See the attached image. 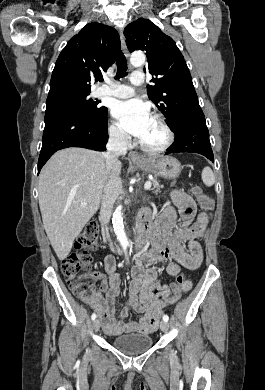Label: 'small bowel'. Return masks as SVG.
Segmentation results:
<instances>
[{
  "label": "small bowel",
  "mask_w": 265,
  "mask_h": 390,
  "mask_svg": "<svg viewBox=\"0 0 265 390\" xmlns=\"http://www.w3.org/2000/svg\"><path fill=\"white\" fill-rule=\"evenodd\" d=\"M172 202L179 210L182 224L175 227L176 210L173 206L164 208L154 223L151 232L152 248L141 256L131 270V283L127 290L129 301L118 313L116 300L120 295V277L116 272V260L112 255L105 257L106 275L100 276V291L86 303L97 312L103 322V331L107 335L124 333L148 334L156 330L167 303L163 300L171 285H162L157 280V271L151 268L154 263L165 262L170 276H177L184 267L197 269L202 262V249L198 242L206 230L208 218L201 212L196 221V204L191 196L176 190L171 195ZM151 211L143 210L141 216L150 218ZM187 244L188 249H186ZM181 294L191 288L188 276ZM136 312L142 315L139 321H125Z\"/></svg>",
  "instance_id": "obj_1"
}]
</instances>
